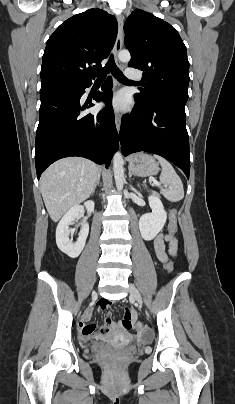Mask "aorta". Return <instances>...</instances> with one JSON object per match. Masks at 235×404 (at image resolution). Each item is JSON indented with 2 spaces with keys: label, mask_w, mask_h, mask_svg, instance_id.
Segmentation results:
<instances>
[{
  "label": "aorta",
  "mask_w": 235,
  "mask_h": 404,
  "mask_svg": "<svg viewBox=\"0 0 235 404\" xmlns=\"http://www.w3.org/2000/svg\"><path fill=\"white\" fill-rule=\"evenodd\" d=\"M118 58L121 62H129L131 59L130 53L127 50L120 51ZM123 157L121 152H116L113 157V170L116 187L120 191L124 185V169H123Z\"/></svg>",
  "instance_id": "762f6f07"
}]
</instances>
